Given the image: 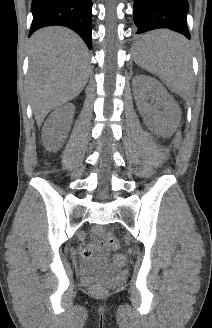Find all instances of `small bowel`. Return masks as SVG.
Listing matches in <instances>:
<instances>
[{"mask_svg":"<svg viewBox=\"0 0 212 328\" xmlns=\"http://www.w3.org/2000/svg\"><path fill=\"white\" fill-rule=\"evenodd\" d=\"M94 234H95V235H98V231L96 230V231L94 232ZM93 249H94L93 246L88 247L87 249H85V250L83 251V254H84V255H88V254H90V253L92 252Z\"/></svg>","mask_w":212,"mask_h":328,"instance_id":"c3829d8e","label":"small bowel"}]
</instances>
